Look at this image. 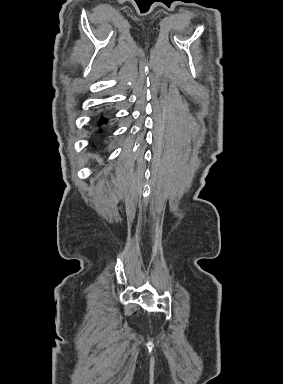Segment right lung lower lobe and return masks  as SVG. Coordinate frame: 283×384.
I'll return each mask as SVG.
<instances>
[{"mask_svg": "<svg viewBox=\"0 0 283 384\" xmlns=\"http://www.w3.org/2000/svg\"><path fill=\"white\" fill-rule=\"evenodd\" d=\"M105 121H106V119L103 118V117H101V119H100V121H99V124H101V123H103V122H105Z\"/></svg>", "mask_w": 283, "mask_h": 384, "instance_id": "98d812e1", "label": "right lung lower lobe"}]
</instances>
